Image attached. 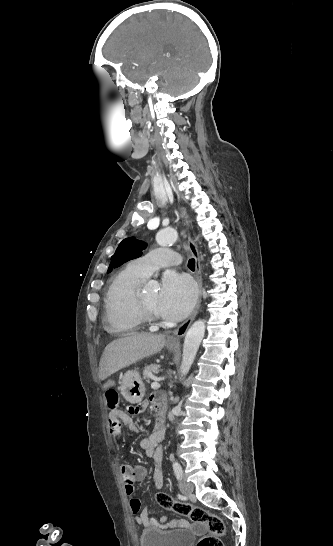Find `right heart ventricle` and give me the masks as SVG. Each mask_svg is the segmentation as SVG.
Listing matches in <instances>:
<instances>
[{"label":"right heart ventricle","mask_w":333,"mask_h":546,"mask_svg":"<svg viewBox=\"0 0 333 546\" xmlns=\"http://www.w3.org/2000/svg\"><path fill=\"white\" fill-rule=\"evenodd\" d=\"M145 279L131 265L111 279L104 300L105 324L110 332L133 333L141 330L143 320L136 310L135 296Z\"/></svg>","instance_id":"1"}]
</instances>
